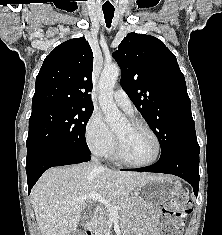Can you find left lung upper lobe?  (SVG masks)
Wrapping results in <instances>:
<instances>
[{
  "mask_svg": "<svg viewBox=\"0 0 222 235\" xmlns=\"http://www.w3.org/2000/svg\"><path fill=\"white\" fill-rule=\"evenodd\" d=\"M113 57L121 68L122 88L159 139L161 156L200 150L184 75L164 43L132 32Z\"/></svg>",
  "mask_w": 222,
  "mask_h": 235,
  "instance_id": "obj_1",
  "label": "left lung upper lobe"
}]
</instances>
